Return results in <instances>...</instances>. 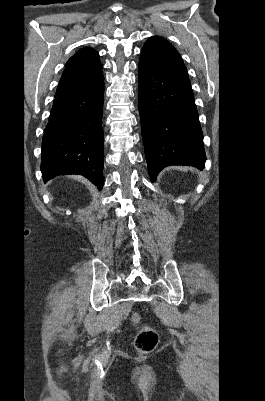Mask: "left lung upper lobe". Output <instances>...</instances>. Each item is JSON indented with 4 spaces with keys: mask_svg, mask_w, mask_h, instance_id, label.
<instances>
[{
    "mask_svg": "<svg viewBox=\"0 0 265 401\" xmlns=\"http://www.w3.org/2000/svg\"><path fill=\"white\" fill-rule=\"evenodd\" d=\"M140 59L162 69L187 72L180 54L162 37L149 38L142 48Z\"/></svg>",
    "mask_w": 265,
    "mask_h": 401,
    "instance_id": "5c2ea615",
    "label": "left lung upper lobe"
}]
</instances>
